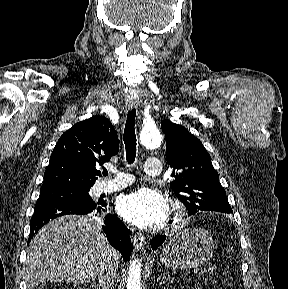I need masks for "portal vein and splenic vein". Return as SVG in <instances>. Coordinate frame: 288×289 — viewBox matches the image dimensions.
Returning a JSON list of instances; mask_svg holds the SVG:
<instances>
[{
    "instance_id": "portal-vein-and-splenic-vein-1",
    "label": "portal vein and splenic vein",
    "mask_w": 288,
    "mask_h": 289,
    "mask_svg": "<svg viewBox=\"0 0 288 289\" xmlns=\"http://www.w3.org/2000/svg\"><path fill=\"white\" fill-rule=\"evenodd\" d=\"M198 274H199V276H202V275H204V272L203 271H199Z\"/></svg>"
}]
</instances>
